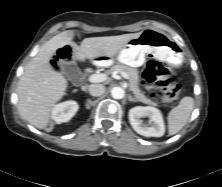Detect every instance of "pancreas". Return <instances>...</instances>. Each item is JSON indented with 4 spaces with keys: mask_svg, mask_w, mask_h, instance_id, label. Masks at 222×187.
Returning <instances> with one entry per match:
<instances>
[{
    "mask_svg": "<svg viewBox=\"0 0 222 187\" xmlns=\"http://www.w3.org/2000/svg\"><path fill=\"white\" fill-rule=\"evenodd\" d=\"M114 71L125 72L128 75L130 90L133 92L137 101H140L144 104L157 106L155 102L146 98V96L139 89V76L137 69L122 64H117L110 68L109 73H112Z\"/></svg>",
    "mask_w": 222,
    "mask_h": 187,
    "instance_id": "cf45deb5",
    "label": "pancreas"
}]
</instances>
